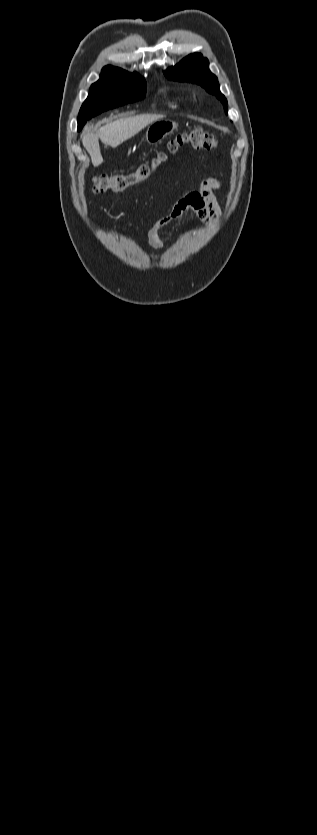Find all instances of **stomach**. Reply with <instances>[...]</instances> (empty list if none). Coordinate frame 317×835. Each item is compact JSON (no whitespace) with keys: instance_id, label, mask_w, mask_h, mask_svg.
Here are the masks:
<instances>
[{"instance_id":"0dacf381","label":"stomach","mask_w":317,"mask_h":835,"mask_svg":"<svg viewBox=\"0 0 317 835\" xmlns=\"http://www.w3.org/2000/svg\"><path fill=\"white\" fill-rule=\"evenodd\" d=\"M178 124L172 120H161L152 123L146 131V141L154 146L168 135L172 134Z\"/></svg>"}]
</instances>
